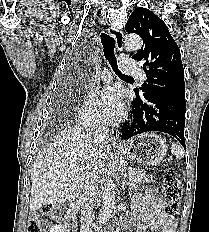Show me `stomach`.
I'll return each mask as SVG.
<instances>
[{
  "mask_svg": "<svg viewBox=\"0 0 209 232\" xmlns=\"http://www.w3.org/2000/svg\"><path fill=\"white\" fill-rule=\"evenodd\" d=\"M120 151L130 161L155 166L166 156L167 144L160 136L145 133L124 143Z\"/></svg>",
  "mask_w": 209,
  "mask_h": 232,
  "instance_id": "obj_1",
  "label": "stomach"
}]
</instances>
